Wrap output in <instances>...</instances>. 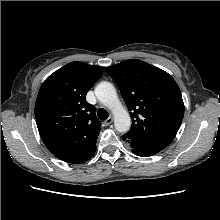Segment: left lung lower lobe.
<instances>
[{"label":"left lung lower lobe","mask_w":220,"mask_h":220,"mask_svg":"<svg viewBox=\"0 0 220 220\" xmlns=\"http://www.w3.org/2000/svg\"><path fill=\"white\" fill-rule=\"evenodd\" d=\"M122 138L124 140V137H122ZM131 149L134 154H136L137 156H141V157L152 156V155L160 152V150L147 149V148H137V147H132V146H131Z\"/></svg>","instance_id":"0a47b994"}]
</instances>
